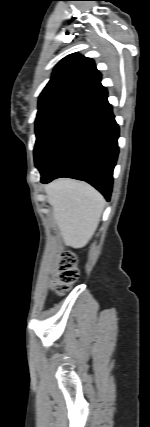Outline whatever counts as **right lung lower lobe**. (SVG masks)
Listing matches in <instances>:
<instances>
[{"mask_svg":"<svg viewBox=\"0 0 150 427\" xmlns=\"http://www.w3.org/2000/svg\"><path fill=\"white\" fill-rule=\"evenodd\" d=\"M118 137L119 128L105 94L81 109L55 140L39 168L41 182L59 177L83 180L109 200Z\"/></svg>","mask_w":150,"mask_h":427,"instance_id":"1","label":"right lung lower lobe"}]
</instances>
